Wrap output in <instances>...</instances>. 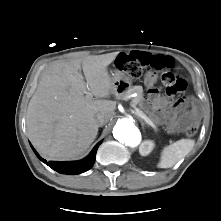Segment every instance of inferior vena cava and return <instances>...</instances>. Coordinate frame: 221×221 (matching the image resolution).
I'll return each mask as SVG.
<instances>
[{
    "mask_svg": "<svg viewBox=\"0 0 221 221\" xmlns=\"http://www.w3.org/2000/svg\"><path fill=\"white\" fill-rule=\"evenodd\" d=\"M108 121H109V119L106 116H104L103 114H97L96 115V122H97L98 126H103Z\"/></svg>",
    "mask_w": 221,
    "mask_h": 221,
    "instance_id": "obj_1",
    "label": "inferior vena cava"
}]
</instances>
